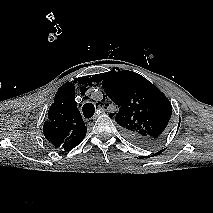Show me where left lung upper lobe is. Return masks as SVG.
Wrapping results in <instances>:
<instances>
[{
    "mask_svg": "<svg viewBox=\"0 0 213 213\" xmlns=\"http://www.w3.org/2000/svg\"><path fill=\"white\" fill-rule=\"evenodd\" d=\"M100 81L105 97L118 108L110 117L115 116V121L131 141L150 145L163 137L172 106L154 84L135 72L118 68L101 74Z\"/></svg>",
    "mask_w": 213,
    "mask_h": 213,
    "instance_id": "5c2ea615",
    "label": "left lung upper lobe"
}]
</instances>
